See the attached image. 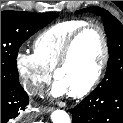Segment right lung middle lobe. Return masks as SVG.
<instances>
[{
    "label": "right lung middle lobe",
    "instance_id": "right-lung-middle-lobe-1",
    "mask_svg": "<svg viewBox=\"0 0 123 123\" xmlns=\"http://www.w3.org/2000/svg\"><path fill=\"white\" fill-rule=\"evenodd\" d=\"M57 17L53 12L1 11V84H19L16 63L19 47Z\"/></svg>",
    "mask_w": 123,
    "mask_h": 123
}]
</instances>
